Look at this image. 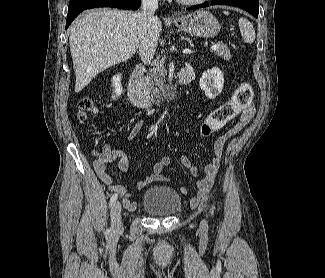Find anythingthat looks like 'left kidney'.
I'll return each mask as SVG.
<instances>
[{
  "mask_svg": "<svg viewBox=\"0 0 325 278\" xmlns=\"http://www.w3.org/2000/svg\"><path fill=\"white\" fill-rule=\"evenodd\" d=\"M200 88L204 91L209 99L218 96L224 86V76L219 68H213L205 71L199 81Z\"/></svg>",
  "mask_w": 325,
  "mask_h": 278,
  "instance_id": "obj_1",
  "label": "left kidney"
}]
</instances>
